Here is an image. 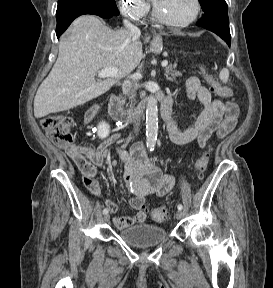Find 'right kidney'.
I'll list each match as a JSON object with an SVG mask.
<instances>
[{
    "label": "right kidney",
    "instance_id": "ca27d5eb",
    "mask_svg": "<svg viewBox=\"0 0 273 288\" xmlns=\"http://www.w3.org/2000/svg\"><path fill=\"white\" fill-rule=\"evenodd\" d=\"M97 129H98L97 134L100 139H105L106 137L109 136L110 126L105 121L100 122Z\"/></svg>",
    "mask_w": 273,
    "mask_h": 288
}]
</instances>
